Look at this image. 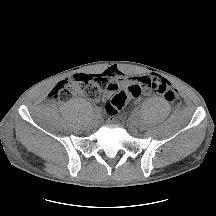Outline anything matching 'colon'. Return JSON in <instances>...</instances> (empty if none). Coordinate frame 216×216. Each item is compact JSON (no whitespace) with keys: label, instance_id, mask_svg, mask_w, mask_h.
I'll list each match as a JSON object with an SVG mask.
<instances>
[{"label":"colon","instance_id":"colon-1","mask_svg":"<svg viewBox=\"0 0 216 216\" xmlns=\"http://www.w3.org/2000/svg\"><path fill=\"white\" fill-rule=\"evenodd\" d=\"M108 80L101 75L75 74L60 81L50 92L51 97L66 101L75 94L83 95L91 100L98 99L106 90ZM142 91H153L165 100L176 104L177 92L174 86L159 76H144L136 85L119 91L105 106L109 117H114L133 97Z\"/></svg>","mask_w":216,"mask_h":216}]
</instances>
